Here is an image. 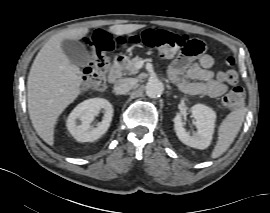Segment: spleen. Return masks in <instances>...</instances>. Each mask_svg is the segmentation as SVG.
<instances>
[{"mask_svg":"<svg viewBox=\"0 0 270 213\" xmlns=\"http://www.w3.org/2000/svg\"><path fill=\"white\" fill-rule=\"evenodd\" d=\"M245 114L246 109H239L228 114L222 121L218 129V141L211 158H218L230 147L242 126Z\"/></svg>","mask_w":270,"mask_h":213,"instance_id":"spleen-1","label":"spleen"}]
</instances>
